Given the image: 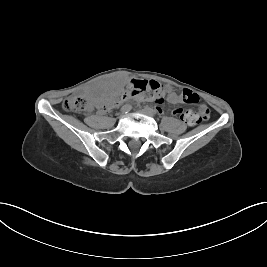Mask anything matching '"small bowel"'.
Returning a JSON list of instances; mask_svg holds the SVG:
<instances>
[{"mask_svg":"<svg viewBox=\"0 0 267 267\" xmlns=\"http://www.w3.org/2000/svg\"><path fill=\"white\" fill-rule=\"evenodd\" d=\"M164 88L168 93V102L169 103H171L173 105H178V104L183 102L182 94L176 93L170 86H166ZM114 95H115L114 90L112 88H107L106 90H104L102 96L96 100V106L98 108V112H100L102 114L107 113V109L105 108V105ZM158 109L161 110L160 108H158ZM176 109H181V108L178 107ZM174 111H175V109H174ZM174 111H173V113H174ZM182 114H184V116L181 119L190 126L195 125L199 122L197 120V118L194 115H192L191 111H188V112L182 111Z\"/></svg>","mask_w":267,"mask_h":267,"instance_id":"small-bowel-1","label":"small bowel"}]
</instances>
